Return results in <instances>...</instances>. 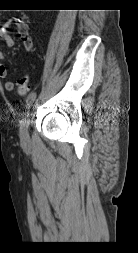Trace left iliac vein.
Here are the masks:
<instances>
[{
	"label": "left iliac vein",
	"mask_w": 138,
	"mask_h": 253,
	"mask_svg": "<svg viewBox=\"0 0 138 253\" xmlns=\"http://www.w3.org/2000/svg\"><path fill=\"white\" fill-rule=\"evenodd\" d=\"M29 124L30 120L29 119H24L21 126H20V140L22 143H26L29 141L30 136H29Z\"/></svg>",
	"instance_id": "obj_1"
}]
</instances>
